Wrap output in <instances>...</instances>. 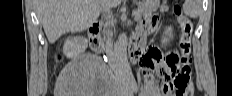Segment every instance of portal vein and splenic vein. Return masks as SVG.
<instances>
[{"instance_id": "portal-vein-and-splenic-vein-1", "label": "portal vein and splenic vein", "mask_w": 232, "mask_h": 96, "mask_svg": "<svg viewBox=\"0 0 232 96\" xmlns=\"http://www.w3.org/2000/svg\"><path fill=\"white\" fill-rule=\"evenodd\" d=\"M138 19H139V17L135 16V20H138Z\"/></svg>"}]
</instances>
